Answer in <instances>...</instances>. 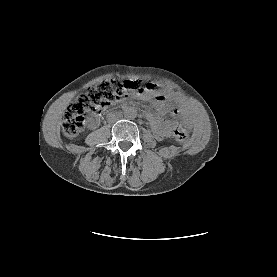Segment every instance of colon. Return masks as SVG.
<instances>
[{
    "label": "colon",
    "instance_id": "obj_1",
    "mask_svg": "<svg viewBox=\"0 0 277 277\" xmlns=\"http://www.w3.org/2000/svg\"><path fill=\"white\" fill-rule=\"evenodd\" d=\"M142 84L134 81L104 80L88 87L69 106L62 123L63 133L68 137H76L85 127L86 117L89 114L97 116L102 108L114 101L136 94ZM189 136L188 130L181 124L173 127V137L178 142H184Z\"/></svg>",
    "mask_w": 277,
    "mask_h": 277
}]
</instances>
